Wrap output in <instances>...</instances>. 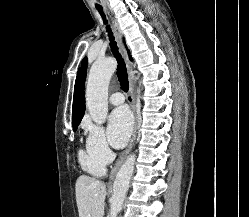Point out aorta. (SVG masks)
Returning <instances> with one entry per match:
<instances>
[{
  "mask_svg": "<svg viewBox=\"0 0 249 217\" xmlns=\"http://www.w3.org/2000/svg\"><path fill=\"white\" fill-rule=\"evenodd\" d=\"M116 66L115 59L107 58L95 62L90 69L86 88V105L92 120L96 124H103L107 118L108 85ZM134 164L135 155L132 154L126 159L116 175L113 183L109 217H117L122 209L130 179L134 172Z\"/></svg>",
  "mask_w": 249,
  "mask_h": 217,
  "instance_id": "1",
  "label": "aorta"
}]
</instances>
